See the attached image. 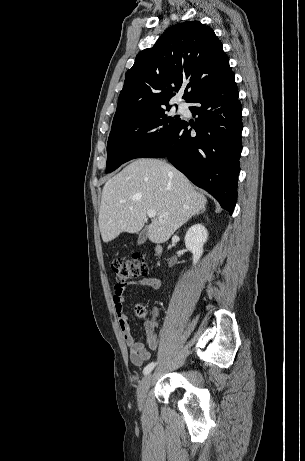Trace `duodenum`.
Returning a JSON list of instances; mask_svg holds the SVG:
<instances>
[{
  "label": "duodenum",
  "instance_id": "obj_1",
  "mask_svg": "<svg viewBox=\"0 0 305 461\" xmlns=\"http://www.w3.org/2000/svg\"><path fill=\"white\" fill-rule=\"evenodd\" d=\"M154 250H155V254H156V255H159L160 252H161V246H160L159 244H156V245L154 246Z\"/></svg>",
  "mask_w": 305,
  "mask_h": 461
}]
</instances>
